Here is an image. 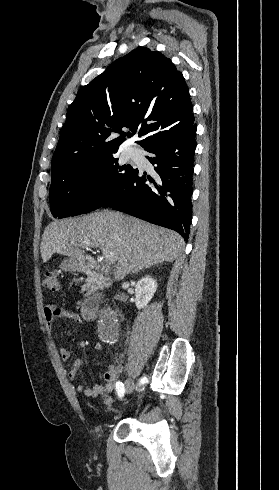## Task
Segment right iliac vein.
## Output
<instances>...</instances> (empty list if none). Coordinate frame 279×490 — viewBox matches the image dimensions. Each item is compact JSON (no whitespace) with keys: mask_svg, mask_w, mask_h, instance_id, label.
<instances>
[{"mask_svg":"<svg viewBox=\"0 0 279 490\" xmlns=\"http://www.w3.org/2000/svg\"><path fill=\"white\" fill-rule=\"evenodd\" d=\"M126 389H127V393H132L134 389V384L130 379L126 381Z\"/></svg>","mask_w":279,"mask_h":490,"instance_id":"obj_1","label":"right iliac vein"}]
</instances>
